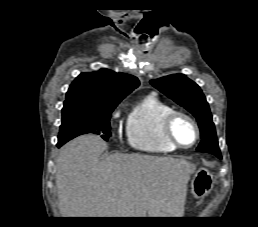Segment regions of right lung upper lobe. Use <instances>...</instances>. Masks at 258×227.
<instances>
[{"label": "right lung upper lobe", "instance_id": "obj_1", "mask_svg": "<svg viewBox=\"0 0 258 227\" xmlns=\"http://www.w3.org/2000/svg\"><path fill=\"white\" fill-rule=\"evenodd\" d=\"M138 86L136 77L109 69L81 73L70 85L66 101L97 106L118 105Z\"/></svg>", "mask_w": 258, "mask_h": 227}]
</instances>
